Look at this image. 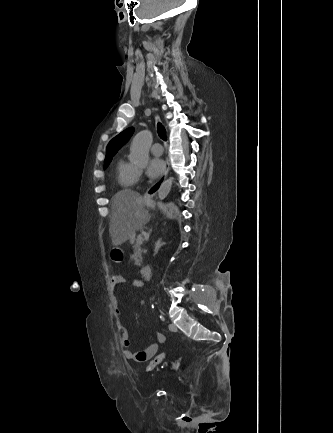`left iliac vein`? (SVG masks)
<instances>
[{"label": "left iliac vein", "instance_id": "obj_1", "mask_svg": "<svg viewBox=\"0 0 333 433\" xmlns=\"http://www.w3.org/2000/svg\"><path fill=\"white\" fill-rule=\"evenodd\" d=\"M169 329H170V331H172V332H176V331H177V327H176V325L173 324V323H170V324H169Z\"/></svg>", "mask_w": 333, "mask_h": 433}]
</instances>
